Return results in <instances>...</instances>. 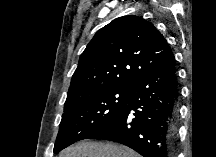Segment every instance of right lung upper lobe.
I'll list each match as a JSON object with an SVG mask.
<instances>
[{
  "instance_id": "cb5924a9",
  "label": "right lung upper lobe",
  "mask_w": 216,
  "mask_h": 157,
  "mask_svg": "<svg viewBox=\"0 0 216 157\" xmlns=\"http://www.w3.org/2000/svg\"><path fill=\"white\" fill-rule=\"evenodd\" d=\"M171 56L152 23L132 15L119 17L97 31L81 54L65 107L90 91L133 85Z\"/></svg>"
}]
</instances>
